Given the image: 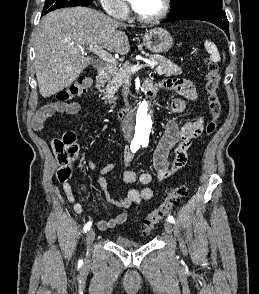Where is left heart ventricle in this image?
Wrapping results in <instances>:
<instances>
[{
    "mask_svg": "<svg viewBox=\"0 0 259 294\" xmlns=\"http://www.w3.org/2000/svg\"><path fill=\"white\" fill-rule=\"evenodd\" d=\"M134 9L142 16H153L162 9V0H139Z\"/></svg>",
    "mask_w": 259,
    "mask_h": 294,
    "instance_id": "1",
    "label": "left heart ventricle"
}]
</instances>
